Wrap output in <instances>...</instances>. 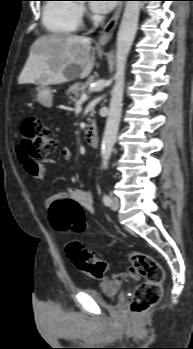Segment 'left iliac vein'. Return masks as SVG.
<instances>
[{
  "instance_id": "left-iliac-vein-1",
  "label": "left iliac vein",
  "mask_w": 193,
  "mask_h": 349,
  "mask_svg": "<svg viewBox=\"0 0 193 349\" xmlns=\"http://www.w3.org/2000/svg\"><path fill=\"white\" fill-rule=\"evenodd\" d=\"M119 204H120L119 198L116 196L112 197L111 208L113 210H117L119 208Z\"/></svg>"
}]
</instances>
